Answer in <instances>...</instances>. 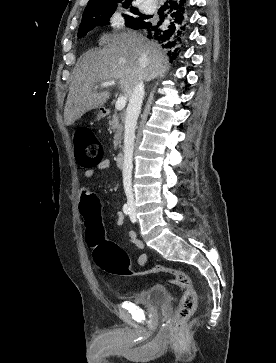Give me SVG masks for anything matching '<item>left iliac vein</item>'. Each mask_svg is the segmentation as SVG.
Returning <instances> with one entry per match:
<instances>
[{
	"mask_svg": "<svg viewBox=\"0 0 276 363\" xmlns=\"http://www.w3.org/2000/svg\"><path fill=\"white\" fill-rule=\"evenodd\" d=\"M130 219L132 222L136 221V211H135L134 206L131 207Z\"/></svg>",
	"mask_w": 276,
	"mask_h": 363,
	"instance_id": "left-iliac-vein-1",
	"label": "left iliac vein"
}]
</instances>
